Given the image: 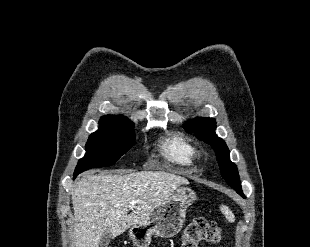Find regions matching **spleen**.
<instances>
[{"label": "spleen", "mask_w": 310, "mask_h": 247, "mask_svg": "<svg viewBox=\"0 0 310 247\" xmlns=\"http://www.w3.org/2000/svg\"><path fill=\"white\" fill-rule=\"evenodd\" d=\"M221 212L225 215V218L229 221V222H234L235 221V216L232 213V211L227 207L222 205L220 207Z\"/></svg>", "instance_id": "spleen-1"}]
</instances>
